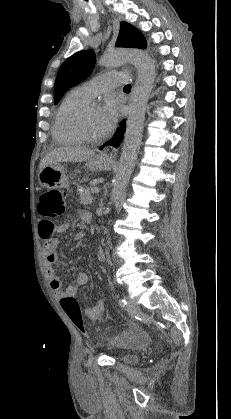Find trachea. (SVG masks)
Instances as JSON below:
<instances>
[{
	"instance_id": "obj_1",
	"label": "trachea",
	"mask_w": 231,
	"mask_h": 419,
	"mask_svg": "<svg viewBox=\"0 0 231 419\" xmlns=\"http://www.w3.org/2000/svg\"><path fill=\"white\" fill-rule=\"evenodd\" d=\"M125 90H131V86L128 84L124 87Z\"/></svg>"
}]
</instances>
